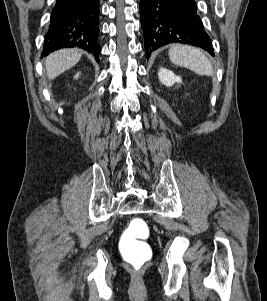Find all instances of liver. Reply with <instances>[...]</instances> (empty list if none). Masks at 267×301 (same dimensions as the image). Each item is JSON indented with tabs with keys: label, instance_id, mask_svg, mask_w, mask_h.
Segmentation results:
<instances>
[{
	"label": "liver",
	"instance_id": "1",
	"mask_svg": "<svg viewBox=\"0 0 267 301\" xmlns=\"http://www.w3.org/2000/svg\"><path fill=\"white\" fill-rule=\"evenodd\" d=\"M81 56L82 54L78 49H61L48 55L45 59L48 79H55L75 66L81 59Z\"/></svg>",
	"mask_w": 267,
	"mask_h": 301
}]
</instances>
